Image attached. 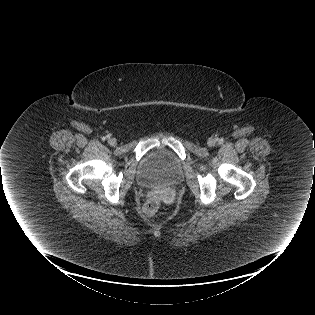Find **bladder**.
<instances>
[{
  "label": "bladder",
  "mask_w": 315,
  "mask_h": 315,
  "mask_svg": "<svg viewBox=\"0 0 315 315\" xmlns=\"http://www.w3.org/2000/svg\"><path fill=\"white\" fill-rule=\"evenodd\" d=\"M181 176L180 160L165 150L149 154L139 169V181L144 186L174 185L179 182Z\"/></svg>",
  "instance_id": "31cf9c89"
}]
</instances>
